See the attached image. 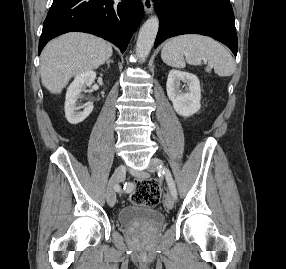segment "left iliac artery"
Instances as JSON below:
<instances>
[{
  "label": "left iliac artery",
  "mask_w": 286,
  "mask_h": 269,
  "mask_svg": "<svg viewBox=\"0 0 286 269\" xmlns=\"http://www.w3.org/2000/svg\"><path fill=\"white\" fill-rule=\"evenodd\" d=\"M163 174H165V176H166V180H167L171 194L173 195L174 199H177L176 186H175V183H174V180L172 178L170 171L168 169L164 168Z\"/></svg>",
  "instance_id": "left-iliac-artery-1"
}]
</instances>
